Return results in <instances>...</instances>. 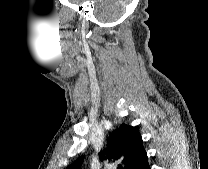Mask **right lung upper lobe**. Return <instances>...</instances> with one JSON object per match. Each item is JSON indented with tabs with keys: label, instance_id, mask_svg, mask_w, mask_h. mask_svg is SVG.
<instances>
[{
	"label": "right lung upper lobe",
	"instance_id": "obj_1",
	"mask_svg": "<svg viewBox=\"0 0 208 169\" xmlns=\"http://www.w3.org/2000/svg\"><path fill=\"white\" fill-rule=\"evenodd\" d=\"M106 155V156H105ZM100 160H121L124 169H138L147 159V153L143 146L142 137L136 127L121 124L107 139L106 151H100ZM84 161V155L80 156L66 169H80ZM118 169H122L119 165Z\"/></svg>",
	"mask_w": 208,
	"mask_h": 169
}]
</instances>
